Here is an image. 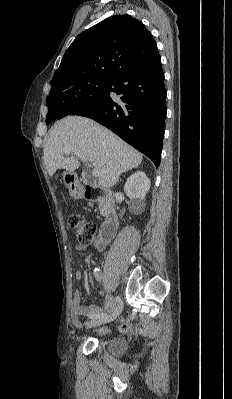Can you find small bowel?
I'll return each instance as SVG.
<instances>
[{
	"mask_svg": "<svg viewBox=\"0 0 232 399\" xmlns=\"http://www.w3.org/2000/svg\"><path fill=\"white\" fill-rule=\"evenodd\" d=\"M79 250H85L88 247L96 248L101 251L107 247L106 242H80L78 243ZM85 262L83 260L78 261V271L77 276L82 278L84 276ZM95 312H105L112 316H118L121 312L120 306L107 305L104 307L94 306V305H83L81 297L78 293L70 301L69 306V320L73 328L79 332L84 331L86 328H90L95 334L102 335L111 332L114 329L134 331L142 327L140 322H119L115 325L102 324L95 321H90L88 325L84 324L80 320L81 315H91Z\"/></svg>",
	"mask_w": 232,
	"mask_h": 399,
	"instance_id": "c3829d8e",
	"label": "small bowel"
}]
</instances>
